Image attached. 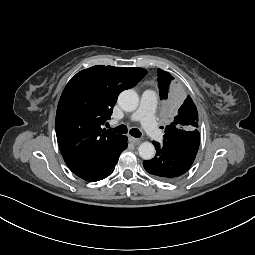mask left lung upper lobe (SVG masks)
Wrapping results in <instances>:
<instances>
[{
  "label": "left lung upper lobe",
  "instance_id": "5c2ea615",
  "mask_svg": "<svg viewBox=\"0 0 255 255\" xmlns=\"http://www.w3.org/2000/svg\"><path fill=\"white\" fill-rule=\"evenodd\" d=\"M174 78L166 71L158 69V86L160 98L167 99L172 92L171 119L165 128L163 141L178 140L199 134L198 112L190 96L179 94L174 86Z\"/></svg>",
  "mask_w": 255,
  "mask_h": 255
}]
</instances>
